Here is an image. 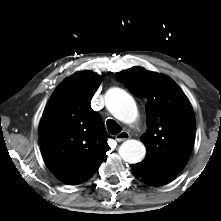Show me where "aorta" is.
Instances as JSON below:
<instances>
[{
	"mask_svg": "<svg viewBox=\"0 0 221 221\" xmlns=\"http://www.w3.org/2000/svg\"><path fill=\"white\" fill-rule=\"evenodd\" d=\"M105 104L110 113L119 121L132 123L138 117V110L133 97L125 90L112 88L105 95ZM121 158L135 164L142 161L146 155L143 143L137 140H127L119 148Z\"/></svg>",
	"mask_w": 221,
	"mask_h": 221,
	"instance_id": "1",
	"label": "aorta"
}]
</instances>
